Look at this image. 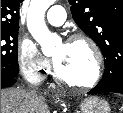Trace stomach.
<instances>
[{
  "instance_id": "1",
  "label": "stomach",
  "mask_w": 123,
  "mask_h": 113,
  "mask_svg": "<svg viewBox=\"0 0 123 113\" xmlns=\"http://www.w3.org/2000/svg\"><path fill=\"white\" fill-rule=\"evenodd\" d=\"M81 113H110L108 102L99 97H88L80 102Z\"/></svg>"
}]
</instances>
